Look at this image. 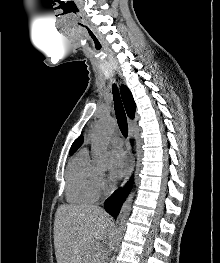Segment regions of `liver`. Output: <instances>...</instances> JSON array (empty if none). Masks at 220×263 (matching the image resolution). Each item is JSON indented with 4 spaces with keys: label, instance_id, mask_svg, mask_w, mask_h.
Here are the masks:
<instances>
[{
    "label": "liver",
    "instance_id": "6515ba94",
    "mask_svg": "<svg viewBox=\"0 0 220 263\" xmlns=\"http://www.w3.org/2000/svg\"><path fill=\"white\" fill-rule=\"evenodd\" d=\"M112 226V218L99 206H59L54 221L57 263H94L92 251L100 250Z\"/></svg>",
    "mask_w": 220,
    "mask_h": 263
}]
</instances>
